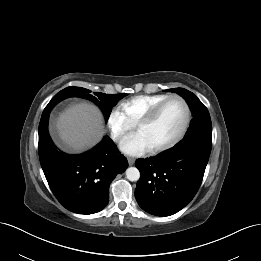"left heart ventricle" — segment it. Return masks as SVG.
Masks as SVG:
<instances>
[{
    "instance_id": "left-heart-ventricle-1",
    "label": "left heart ventricle",
    "mask_w": 261,
    "mask_h": 261,
    "mask_svg": "<svg viewBox=\"0 0 261 261\" xmlns=\"http://www.w3.org/2000/svg\"><path fill=\"white\" fill-rule=\"evenodd\" d=\"M184 121V109L178 101L168 103L151 124L140 127L150 148L169 142L179 132Z\"/></svg>"
}]
</instances>
